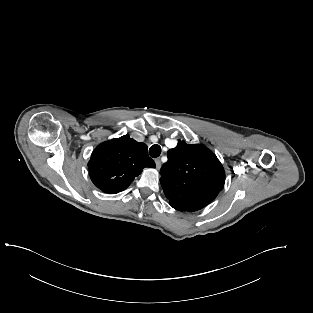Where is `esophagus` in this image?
<instances>
[{"instance_id": "obj_1", "label": "esophagus", "mask_w": 313, "mask_h": 313, "mask_svg": "<svg viewBox=\"0 0 313 313\" xmlns=\"http://www.w3.org/2000/svg\"><path fill=\"white\" fill-rule=\"evenodd\" d=\"M155 164H156V168L157 169L161 168V161H160V159H155Z\"/></svg>"}]
</instances>
